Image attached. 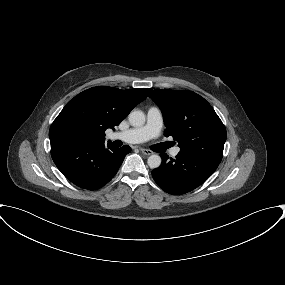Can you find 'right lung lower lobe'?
I'll use <instances>...</instances> for the list:
<instances>
[{
	"mask_svg": "<svg viewBox=\"0 0 285 285\" xmlns=\"http://www.w3.org/2000/svg\"><path fill=\"white\" fill-rule=\"evenodd\" d=\"M51 156L61 173L78 187L97 190L117 173L131 148L89 143L74 138L50 141Z\"/></svg>",
	"mask_w": 285,
	"mask_h": 285,
	"instance_id": "obj_1",
	"label": "right lung lower lobe"
}]
</instances>
